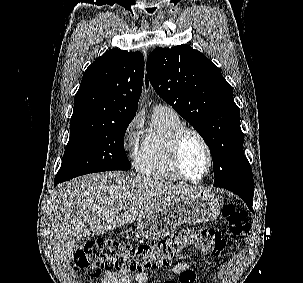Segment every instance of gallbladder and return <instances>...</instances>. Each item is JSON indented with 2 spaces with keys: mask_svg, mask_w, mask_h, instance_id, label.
I'll return each mask as SVG.
<instances>
[{
  "mask_svg": "<svg viewBox=\"0 0 303 283\" xmlns=\"http://www.w3.org/2000/svg\"><path fill=\"white\" fill-rule=\"evenodd\" d=\"M86 242H87L86 238H82V239L78 240L75 244V250L83 248L84 245L86 244Z\"/></svg>",
  "mask_w": 303,
  "mask_h": 283,
  "instance_id": "obj_1",
  "label": "gallbladder"
}]
</instances>
